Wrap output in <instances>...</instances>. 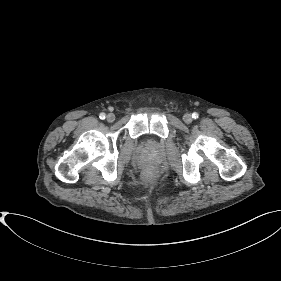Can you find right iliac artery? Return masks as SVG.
Segmentation results:
<instances>
[{"label":"right iliac artery","mask_w":281,"mask_h":281,"mask_svg":"<svg viewBox=\"0 0 281 281\" xmlns=\"http://www.w3.org/2000/svg\"><path fill=\"white\" fill-rule=\"evenodd\" d=\"M105 117H106L105 113H100V115H99L100 119H105Z\"/></svg>","instance_id":"obj_1"}]
</instances>
